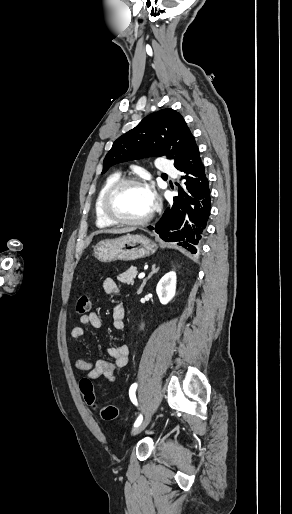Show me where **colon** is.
<instances>
[{
  "instance_id": "5ec220e1",
  "label": "colon",
  "mask_w": 292,
  "mask_h": 514,
  "mask_svg": "<svg viewBox=\"0 0 292 514\" xmlns=\"http://www.w3.org/2000/svg\"><path fill=\"white\" fill-rule=\"evenodd\" d=\"M76 313L78 315H85L90 312L91 300L87 295H82L77 299L75 304ZM80 391L83 393L86 403L98 406V401L94 395V387L91 380L84 379L79 385ZM99 414L103 420H112L118 415V409L114 405H101L98 406Z\"/></svg>"
}]
</instances>
